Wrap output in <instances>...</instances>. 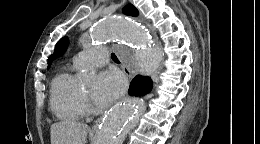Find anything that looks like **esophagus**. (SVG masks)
Listing matches in <instances>:
<instances>
[{
	"label": "esophagus",
	"instance_id": "34e87169",
	"mask_svg": "<svg viewBox=\"0 0 260 144\" xmlns=\"http://www.w3.org/2000/svg\"><path fill=\"white\" fill-rule=\"evenodd\" d=\"M121 67L122 70L124 72V74L126 75L127 78L131 79L133 77V73L131 72V70L127 67V65L124 62H121ZM97 128V124H95L93 126V130H96Z\"/></svg>",
	"mask_w": 260,
	"mask_h": 144
}]
</instances>
